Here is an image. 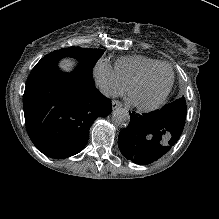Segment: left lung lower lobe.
<instances>
[{"instance_id": "obj_1", "label": "left lung lower lobe", "mask_w": 219, "mask_h": 219, "mask_svg": "<svg viewBox=\"0 0 219 219\" xmlns=\"http://www.w3.org/2000/svg\"><path fill=\"white\" fill-rule=\"evenodd\" d=\"M129 126L119 133L121 153L137 164H149L165 153L179 139L185 119L156 110L146 115L130 113Z\"/></svg>"}]
</instances>
